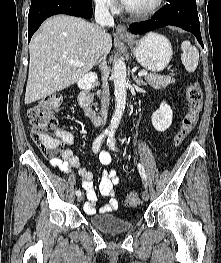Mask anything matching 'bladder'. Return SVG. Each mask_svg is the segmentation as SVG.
I'll return each instance as SVG.
<instances>
[{
	"label": "bladder",
	"instance_id": "bladder-1",
	"mask_svg": "<svg viewBox=\"0 0 221 263\" xmlns=\"http://www.w3.org/2000/svg\"><path fill=\"white\" fill-rule=\"evenodd\" d=\"M89 224L104 234L116 235L132 229L134 222L123 220L115 214H100L90 216Z\"/></svg>",
	"mask_w": 221,
	"mask_h": 263
}]
</instances>
